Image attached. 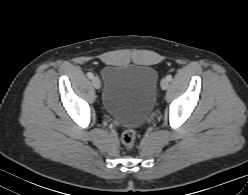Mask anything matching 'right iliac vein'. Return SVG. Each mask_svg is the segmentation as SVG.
<instances>
[{
	"instance_id": "right-iliac-vein-1",
	"label": "right iliac vein",
	"mask_w": 248,
	"mask_h": 195,
	"mask_svg": "<svg viewBox=\"0 0 248 195\" xmlns=\"http://www.w3.org/2000/svg\"><path fill=\"white\" fill-rule=\"evenodd\" d=\"M92 84H93L94 88H96V89H99L100 86H101L100 80H99L98 77H93L92 78Z\"/></svg>"
}]
</instances>
